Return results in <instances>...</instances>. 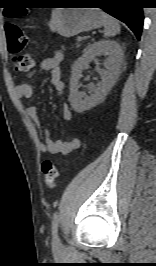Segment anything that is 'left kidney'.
<instances>
[{"mask_svg": "<svg viewBox=\"0 0 156 266\" xmlns=\"http://www.w3.org/2000/svg\"><path fill=\"white\" fill-rule=\"evenodd\" d=\"M100 55L107 56L103 63L105 71L102 81L90 96H85L79 92V80L90 62ZM122 61V48L118 42L113 40H100L84 50L83 55L72 65L71 71L69 101L74 111L84 112L104 100L119 76Z\"/></svg>", "mask_w": 156, "mask_h": 266, "instance_id": "1", "label": "left kidney"}]
</instances>
